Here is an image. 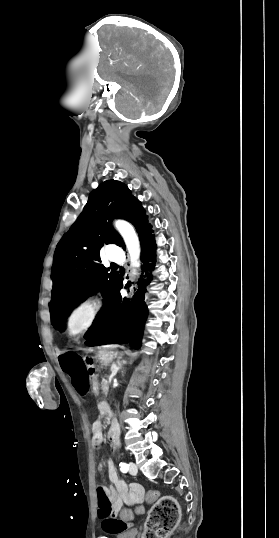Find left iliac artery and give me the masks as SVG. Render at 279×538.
I'll list each match as a JSON object with an SVG mask.
<instances>
[{"label": "left iliac artery", "mask_w": 279, "mask_h": 538, "mask_svg": "<svg viewBox=\"0 0 279 538\" xmlns=\"http://www.w3.org/2000/svg\"><path fill=\"white\" fill-rule=\"evenodd\" d=\"M119 466H120L121 472L123 473H126L129 469V465L125 462H121Z\"/></svg>", "instance_id": "obj_1"}]
</instances>
